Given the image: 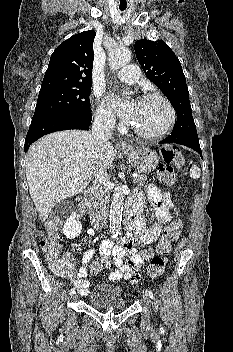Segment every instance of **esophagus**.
I'll return each mask as SVG.
<instances>
[{
  "instance_id": "esophagus-1",
  "label": "esophagus",
  "mask_w": 233,
  "mask_h": 352,
  "mask_svg": "<svg viewBox=\"0 0 233 352\" xmlns=\"http://www.w3.org/2000/svg\"><path fill=\"white\" fill-rule=\"evenodd\" d=\"M117 146L121 149H128L129 145L125 141H120Z\"/></svg>"
}]
</instances>
